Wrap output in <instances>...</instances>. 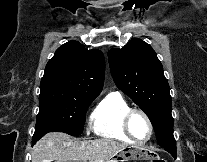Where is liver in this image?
<instances>
[{"label": "liver", "mask_w": 207, "mask_h": 162, "mask_svg": "<svg viewBox=\"0 0 207 162\" xmlns=\"http://www.w3.org/2000/svg\"><path fill=\"white\" fill-rule=\"evenodd\" d=\"M126 147L111 139L78 141L65 133L52 132L34 145L32 162H110Z\"/></svg>", "instance_id": "1"}]
</instances>
